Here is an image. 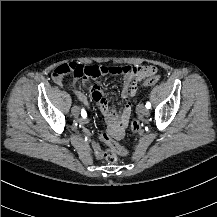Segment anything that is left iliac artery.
I'll return each mask as SVG.
<instances>
[{
	"label": "left iliac artery",
	"instance_id": "1",
	"mask_svg": "<svg viewBox=\"0 0 217 217\" xmlns=\"http://www.w3.org/2000/svg\"><path fill=\"white\" fill-rule=\"evenodd\" d=\"M145 106H146L147 109H150L151 108V103L147 102Z\"/></svg>",
	"mask_w": 217,
	"mask_h": 217
}]
</instances>
